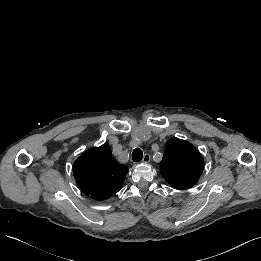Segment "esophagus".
Here are the masks:
<instances>
[{"instance_id": "esophagus-1", "label": "esophagus", "mask_w": 261, "mask_h": 261, "mask_svg": "<svg viewBox=\"0 0 261 261\" xmlns=\"http://www.w3.org/2000/svg\"><path fill=\"white\" fill-rule=\"evenodd\" d=\"M151 160L150 155L146 153L143 157V163H149Z\"/></svg>"}]
</instances>
